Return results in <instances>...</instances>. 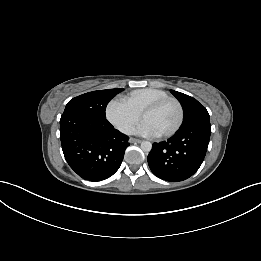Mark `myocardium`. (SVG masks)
Listing matches in <instances>:
<instances>
[{
	"mask_svg": "<svg viewBox=\"0 0 261 261\" xmlns=\"http://www.w3.org/2000/svg\"><path fill=\"white\" fill-rule=\"evenodd\" d=\"M169 102H172L177 106L179 116H178V120H177L176 124L170 130L159 134V136H161V137H170V136L174 135L182 126V123L184 120V110H183L182 104L174 97H166V98L159 99L157 101L150 103L143 109V111L141 113V117L144 118V116L147 113L154 111Z\"/></svg>",
	"mask_w": 261,
	"mask_h": 261,
	"instance_id": "myocardium-1",
	"label": "myocardium"
}]
</instances>
